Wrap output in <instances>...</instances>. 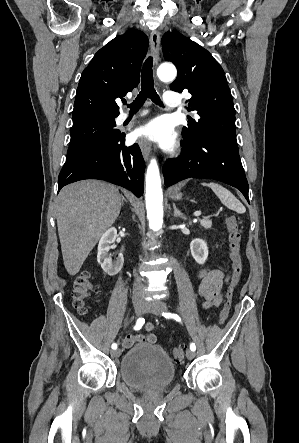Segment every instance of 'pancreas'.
<instances>
[{
	"instance_id": "obj_1",
	"label": "pancreas",
	"mask_w": 299,
	"mask_h": 443,
	"mask_svg": "<svg viewBox=\"0 0 299 443\" xmlns=\"http://www.w3.org/2000/svg\"><path fill=\"white\" fill-rule=\"evenodd\" d=\"M200 224L202 227H204L205 229H209L212 226V221L208 218H204L199 220Z\"/></svg>"
}]
</instances>
